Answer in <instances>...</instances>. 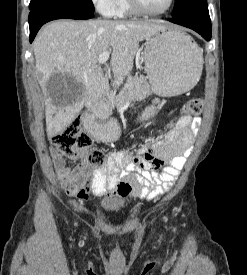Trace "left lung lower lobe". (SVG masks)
I'll return each mask as SVG.
<instances>
[{
    "label": "left lung lower lobe",
    "instance_id": "0a47b994",
    "mask_svg": "<svg viewBox=\"0 0 247 275\" xmlns=\"http://www.w3.org/2000/svg\"><path fill=\"white\" fill-rule=\"evenodd\" d=\"M169 21L193 29L207 41L211 39V20L209 13L179 19L171 18Z\"/></svg>",
    "mask_w": 247,
    "mask_h": 275
}]
</instances>
